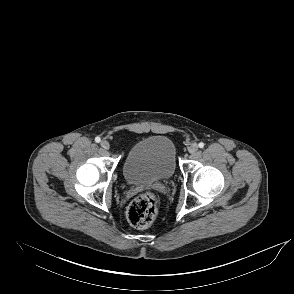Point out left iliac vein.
Segmentation results:
<instances>
[{"mask_svg":"<svg viewBox=\"0 0 294 294\" xmlns=\"http://www.w3.org/2000/svg\"><path fill=\"white\" fill-rule=\"evenodd\" d=\"M197 150H198V145L196 143L191 144L190 147L188 148V151L191 154L196 153Z\"/></svg>","mask_w":294,"mask_h":294,"instance_id":"left-iliac-vein-1","label":"left iliac vein"}]
</instances>
